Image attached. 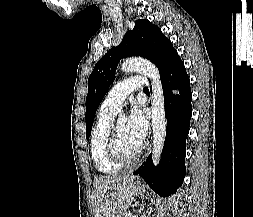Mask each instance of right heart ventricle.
<instances>
[{
    "instance_id": "right-heart-ventricle-1",
    "label": "right heart ventricle",
    "mask_w": 253,
    "mask_h": 217,
    "mask_svg": "<svg viewBox=\"0 0 253 217\" xmlns=\"http://www.w3.org/2000/svg\"><path fill=\"white\" fill-rule=\"evenodd\" d=\"M115 112L100 109L90 138V152L97 170L106 175L118 174L123 165L113 161L107 152L106 143Z\"/></svg>"
}]
</instances>
